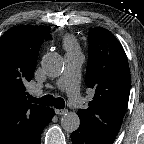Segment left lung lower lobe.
Listing matches in <instances>:
<instances>
[{"label": "left lung lower lobe", "instance_id": "obj_1", "mask_svg": "<svg viewBox=\"0 0 144 144\" xmlns=\"http://www.w3.org/2000/svg\"><path fill=\"white\" fill-rule=\"evenodd\" d=\"M72 144H113L110 136L98 135L80 123L79 128L71 134Z\"/></svg>", "mask_w": 144, "mask_h": 144}]
</instances>
